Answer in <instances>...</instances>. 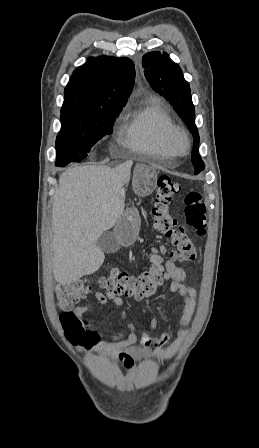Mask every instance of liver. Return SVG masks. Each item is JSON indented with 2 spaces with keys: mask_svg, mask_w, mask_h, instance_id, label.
<instances>
[{
  "mask_svg": "<svg viewBox=\"0 0 259 448\" xmlns=\"http://www.w3.org/2000/svg\"><path fill=\"white\" fill-rule=\"evenodd\" d=\"M133 162L116 168L80 166L63 172L52 208V272L59 284L94 274L105 256L95 244L121 218L119 192L130 180Z\"/></svg>",
  "mask_w": 259,
  "mask_h": 448,
  "instance_id": "liver-1",
  "label": "liver"
}]
</instances>
